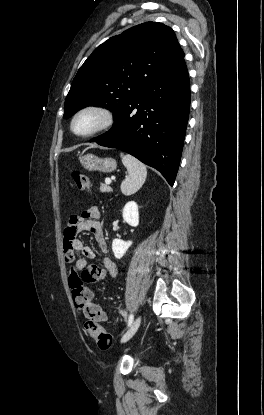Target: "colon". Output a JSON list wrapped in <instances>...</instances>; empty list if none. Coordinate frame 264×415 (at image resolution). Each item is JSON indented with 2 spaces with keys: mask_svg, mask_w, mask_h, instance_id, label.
Returning a JSON list of instances; mask_svg holds the SVG:
<instances>
[{
  "mask_svg": "<svg viewBox=\"0 0 264 415\" xmlns=\"http://www.w3.org/2000/svg\"><path fill=\"white\" fill-rule=\"evenodd\" d=\"M72 180L79 190H88L90 180L88 176L79 170L72 172ZM76 216H72L69 222L71 228L72 222L76 221ZM74 233L75 229L71 228ZM104 278V271L97 265H91L83 272L79 273L73 268L68 273V286L71 290L73 301L76 307L83 311L85 317V326L94 337L100 349H108L111 346V336L100 325L102 321V312L100 308L92 302L90 291L86 288L87 283H97Z\"/></svg>",
  "mask_w": 264,
  "mask_h": 415,
  "instance_id": "5ec220e1",
  "label": "colon"
}]
</instances>
